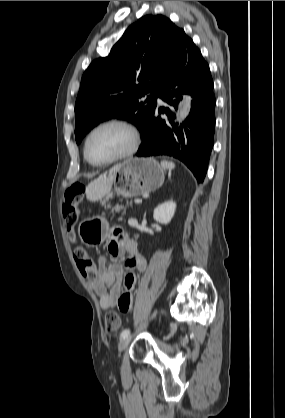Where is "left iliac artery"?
<instances>
[{"instance_id": "1", "label": "left iliac artery", "mask_w": 285, "mask_h": 418, "mask_svg": "<svg viewBox=\"0 0 285 418\" xmlns=\"http://www.w3.org/2000/svg\"><path fill=\"white\" fill-rule=\"evenodd\" d=\"M129 334H130V329L129 328L124 329L120 334V338L123 339V338L127 337Z\"/></svg>"}]
</instances>
